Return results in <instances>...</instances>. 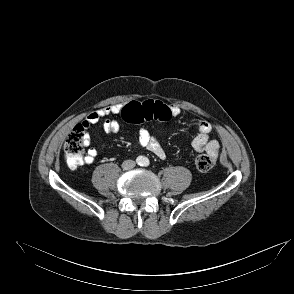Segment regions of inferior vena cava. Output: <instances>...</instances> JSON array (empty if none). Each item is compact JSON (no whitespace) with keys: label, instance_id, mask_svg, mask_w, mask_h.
I'll return each instance as SVG.
<instances>
[{"label":"inferior vena cava","instance_id":"inferior-vena-cava-1","mask_svg":"<svg viewBox=\"0 0 294 294\" xmlns=\"http://www.w3.org/2000/svg\"><path fill=\"white\" fill-rule=\"evenodd\" d=\"M134 166H135V161H133V160H125L122 163V168L124 170H130V169L134 168Z\"/></svg>","mask_w":294,"mask_h":294}]
</instances>
